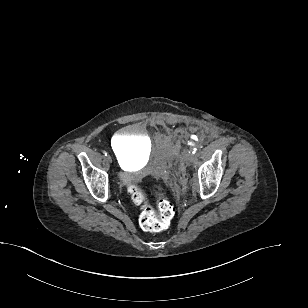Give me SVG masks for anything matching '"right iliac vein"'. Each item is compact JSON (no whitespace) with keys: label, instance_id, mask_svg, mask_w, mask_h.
Returning a JSON list of instances; mask_svg holds the SVG:
<instances>
[{"label":"right iliac vein","instance_id":"obj_1","mask_svg":"<svg viewBox=\"0 0 308 308\" xmlns=\"http://www.w3.org/2000/svg\"><path fill=\"white\" fill-rule=\"evenodd\" d=\"M107 160H108L109 162H112V158H111L110 155L107 156Z\"/></svg>","mask_w":308,"mask_h":308}]
</instances>
